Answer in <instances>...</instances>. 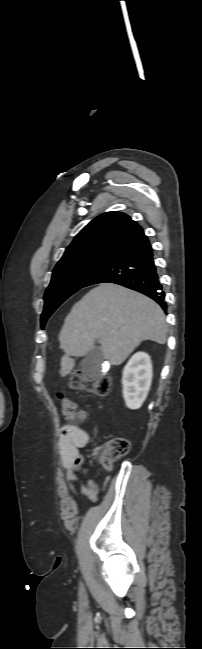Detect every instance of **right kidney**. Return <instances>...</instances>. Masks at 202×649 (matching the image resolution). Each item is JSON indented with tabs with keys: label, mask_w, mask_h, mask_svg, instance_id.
Instances as JSON below:
<instances>
[{
	"label": "right kidney",
	"mask_w": 202,
	"mask_h": 649,
	"mask_svg": "<svg viewBox=\"0 0 202 649\" xmlns=\"http://www.w3.org/2000/svg\"><path fill=\"white\" fill-rule=\"evenodd\" d=\"M150 356L144 352L135 353L123 369L122 386L126 406L138 409L145 401L152 381Z\"/></svg>",
	"instance_id": "1"
}]
</instances>
